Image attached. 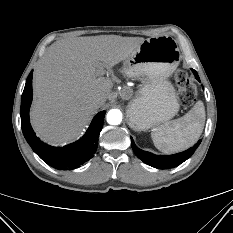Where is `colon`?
<instances>
[{"label":"colon","instance_id":"5ec220e1","mask_svg":"<svg viewBox=\"0 0 233 233\" xmlns=\"http://www.w3.org/2000/svg\"><path fill=\"white\" fill-rule=\"evenodd\" d=\"M174 80L177 85L178 97L183 106H190L195 100L196 90L189 82L188 74L184 70L176 71Z\"/></svg>","mask_w":233,"mask_h":233}]
</instances>
